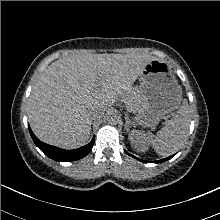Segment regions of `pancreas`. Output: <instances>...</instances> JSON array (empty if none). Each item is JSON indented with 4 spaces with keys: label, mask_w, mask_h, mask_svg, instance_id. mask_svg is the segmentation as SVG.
<instances>
[{
    "label": "pancreas",
    "mask_w": 220,
    "mask_h": 220,
    "mask_svg": "<svg viewBox=\"0 0 220 220\" xmlns=\"http://www.w3.org/2000/svg\"><path fill=\"white\" fill-rule=\"evenodd\" d=\"M141 95L140 91L137 87L131 88L124 96V103L129 110H132L135 106H137L140 101Z\"/></svg>",
    "instance_id": "obj_1"
}]
</instances>
